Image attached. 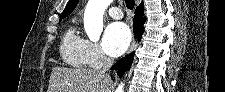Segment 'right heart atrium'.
Masks as SVG:
<instances>
[{
	"mask_svg": "<svg viewBox=\"0 0 225 92\" xmlns=\"http://www.w3.org/2000/svg\"><path fill=\"white\" fill-rule=\"evenodd\" d=\"M85 65L90 67L102 66L105 61L100 45L96 42L86 40Z\"/></svg>",
	"mask_w": 225,
	"mask_h": 92,
	"instance_id": "d8ad5b80",
	"label": "right heart atrium"
}]
</instances>
